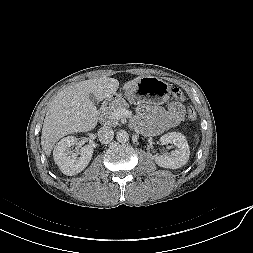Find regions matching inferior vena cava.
Segmentation results:
<instances>
[{
	"instance_id": "1",
	"label": "inferior vena cava",
	"mask_w": 253,
	"mask_h": 253,
	"mask_svg": "<svg viewBox=\"0 0 253 253\" xmlns=\"http://www.w3.org/2000/svg\"><path fill=\"white\" fill-rule=\"evenodd\" d=\"M114 137V131L111 127L104 125L98 131V138L101 142L107 144Z\"/></svg>"
}]
</instances>
